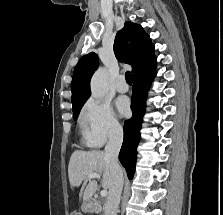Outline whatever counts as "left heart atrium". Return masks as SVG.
<instances>
[{"mask_svg":"<svg viewBox=\"0 0 223 215\" xmlns=\"http://www.w3.org/2000/svg\"><path fill=\"white\" fill-rule=\"evenodd\" d=\"M116 106H117L118 110L121 113H123V114L127 113V111H128V102H127V100L125 98H123V97L118 98L116 100Z\"/></svg>","mask_w":223,"mask_h":215,"instance_id":"left-heart-atrium-1","label":"left heart atrium"}]
</instances>
